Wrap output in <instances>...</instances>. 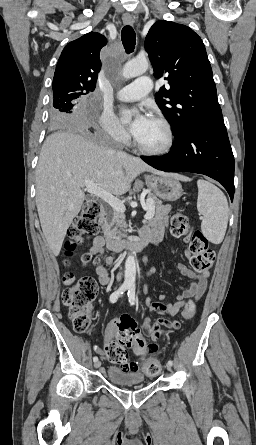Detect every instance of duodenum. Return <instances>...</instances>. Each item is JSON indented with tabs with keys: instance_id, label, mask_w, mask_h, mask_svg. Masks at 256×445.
<instances>
[{
	"instance_id": "410a0bca",
	"label": "duodenum",
	"mask_w": 256,
	"mask_h": 445,
	"mask_svg": "<svg viewBox=\"0 0 256 445\" xmlns=\"http://www.w3.org/2000/svg\"><path fill=\"white\" fill-rule=\"evenodd\" d=\"M105 215L106 211L103 207H101L99 215L101 221L104 219ZM106 241L108 247L115 252L122 251L124 249L141 251L150 243L151 237L149 235H141L139 238L127 239V238H120L112 235H107Z\"/></svg>"
}]
</instances>
